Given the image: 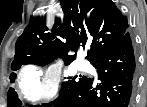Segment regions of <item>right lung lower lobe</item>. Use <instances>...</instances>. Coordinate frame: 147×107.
Here are the masks:
<instances>
[{"label":"right lung lower lobe","mask_w":147,"mask_h":107,"mask_svg":"<svg viewBox=\"0 0 147 107\" xmlns=\"http://www.w3.org/2000/svg\"><path fill=\"white\" fill-rule=\"evenodd\" d=\"M92 65L97 76L86 77L54 107H132L137 72L129 32Z\"/></svg>","instance_id":"obj_1"}]
</instances>
